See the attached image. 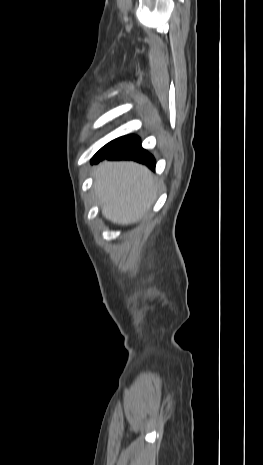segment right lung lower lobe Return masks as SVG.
I'll use <instances>...</instances> for the list:
<instances>
[{"mask_svg":"<svg viewBox=\"0 0 263 465\" xmlns=\"http://www.w3.org/2000/svg\"><path fill=\"white\" fill-rule=\"evenodd\" d=\"M135 160L155 169V159L141 147L140 139L135 135L119 137L106 144L93 157L91 163L96 164L101 160Z\"/></svg>","mask_w":263,"mask_h":465,"instance_id":"obj_1","label":"right lung lower lobe"}]
</instances>
